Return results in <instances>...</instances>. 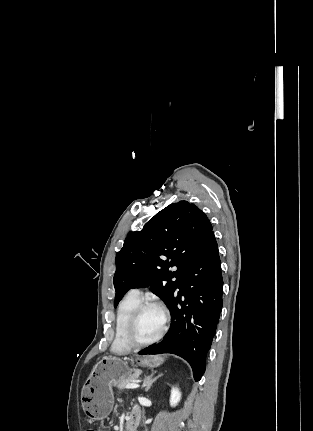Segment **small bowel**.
<instances>
[{
    "label": "small bowel",
    "instance_id": "small-bowel-1",
    "mask_svg": "<svg viewBox=\"0 0 313 431\" xmlns=\"http://www.w3.org/2000/svg\"><path fill=\"white\" fill-rule=\"evenodd\" d=\"M132 413H137V414H139V410H138V409H134Z\"/></svg>",
    "mask_w": 313,
    "mask_h": 431
}]
</instances>
